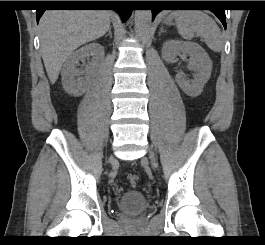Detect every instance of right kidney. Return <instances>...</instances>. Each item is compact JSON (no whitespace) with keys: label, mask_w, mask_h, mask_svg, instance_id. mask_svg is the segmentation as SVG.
Here are the masks:
<instances>
[{"label":"right kidney","mask_w":265,"mask_h":245,"mask_svg":"<svg viewBox=\"0 0 265 245\" xmlns=\"http://www.w3.org/2000/svg\"><path fill=\"white\" fill-rule=\"evenodd\" d=\"M92 57L83 71L76 68L80 60ZM104 58V48L98 43H90L72 53L64 62L61 76L62 85L67 93L81 96L85 93L90 77L99 70Z\"/></svg>","instance_id":"ca27d5eb"}]
</instances>
